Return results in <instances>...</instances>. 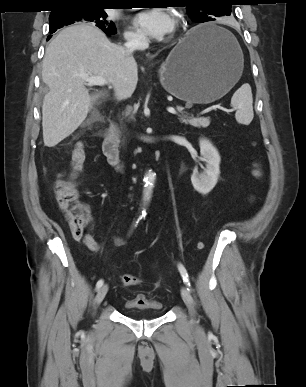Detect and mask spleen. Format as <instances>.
<instances>
[{"mask_svg":"<svg viewBox=\"0 0 306 387\" xmlns=\"http://www.w3.org/2000/svg\"><path fill=\"white\" fill-rule=\"evenodd\" d=\"M253 97L249 84H243L232 96L231 105L236 109L235 118L240 124L248 125L254 117Z\"/></svg>","mask_w":306,"mask_h":387,"instance_id":"spleen-1","label":"spleen"}]
</instances>
